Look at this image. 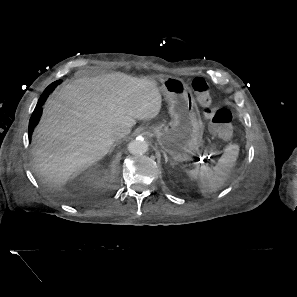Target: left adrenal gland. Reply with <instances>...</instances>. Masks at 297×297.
<instances>
[{"mask_svg": "<svg viewBox=\"0 0 297 297\" xmlns=\"http://www.w3.org/2000/svg\"><path fill=\"white\" fill-rule=\"evenodd\" d=\"M164 157H165V162H168V157H167L166 154H164ZM170 165H171L172 167L175 166L173 162H170Z\"/></svg>", "mask_w": 297, "mask_h": 297, "instance_id": "1", "label": "left adrenal gland"}]
</instances>
